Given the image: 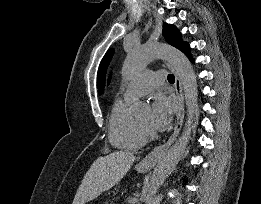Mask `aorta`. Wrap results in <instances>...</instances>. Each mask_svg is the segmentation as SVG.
I'll return each mask as SVG.
<instances>
[{"instance_id": "1", "label": "aorta", "mask_w": 261, "mask_h": 204, "mask_svg": "<svg viewBox=\"0 0 261 204\" xmlns=\"http://www.w3.org/2000/svg\"><path fill=\"white\" fill-rule=\"evenodd\" d=\"M156 58L167 60L174 67L180 79L187 106V121L178 141L166 152L154 168L148 188L149 195H154L157 192L166 178L172 173L186 150L191 137L195 107L198 99L197 77L190 61L183 52L168 45L147 43L141 47L132 49L128 52L124 61L122 68L123 76L128 79L137 76ZM146 107L147 105L144 102H137L134 114L136 116L141 115L146 110Z\"/></svg>"}]
</instances>
